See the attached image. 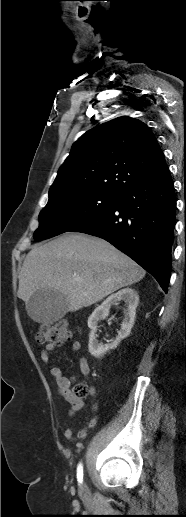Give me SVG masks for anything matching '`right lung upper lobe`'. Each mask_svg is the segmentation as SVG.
Listing matches in <instances>:
<instances>
[{
    "label": "right lung upper lobe",
    "instance_id": "right-lung-upper-lobe-1",
    "mask_svg": "<svg viewBox=\"0 0 186 517\" xmlns=\"http://www.w3.org/2000/svg\"><path fill=\"white\" fill-rule=\"evenodd\" d=\"M168 171L158 142L143 122L118 117L83 134L49 190V200L77 193L121 195Z\"/></svg>",
    "mask_w": 186,
    "mask_h": 517
}]
</instances>
